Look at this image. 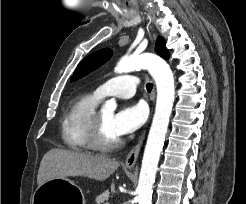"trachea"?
Masks as SVG:
<instances>
[{
	"instance_id": "obj_1",
	"label": "trachea",
	"mask_w": 246,
	"mask_h": 204,
	"mask_svg": "<svg viewBox=\"0 0 246 204\" xmlns=\"http://www.w3.org/2000/svg\"><path fill=\"white\" fill-rule=\"evenodd\" d=\"M146 88H147L148 92H151V90L153 88V84L152 83H147Z\"/></svg>"
}]
</instances>
